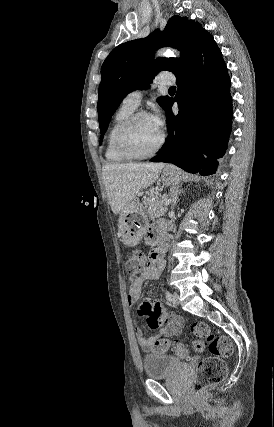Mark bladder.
<instances>
[{
    "label": "bladder",
    "mask_w": 274,
    "mask_h": 427,
    "mask_svg": "<svg viewBox=\"0 0 274 427\" xmlns=\"http://www.w3.org/2000/svg\"><path fill=\"white\" fill-rule=\"evenodd\" d=\"M183 365L170 354H147L143 356L144 372L148 379L170 376Z\"/></svg>",
    "instance_id": "obj_1"
}]
</instances>
